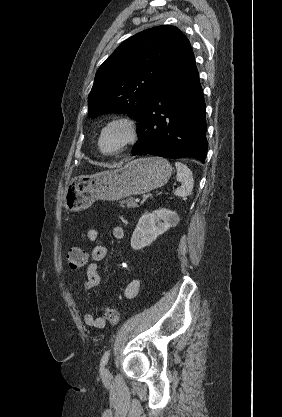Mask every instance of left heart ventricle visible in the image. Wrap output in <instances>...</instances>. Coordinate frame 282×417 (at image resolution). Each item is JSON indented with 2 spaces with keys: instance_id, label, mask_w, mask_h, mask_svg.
Masks as SVG:
<instances>
[{
  "instance_id": "left-heart-ventricle-1",
  "label": "left heart ventricle",
  "mask_w": 282,
  "mask_h": 417,
  "mask_svg": "<svg viewBox=\"0 0 282 417\" xmlns=\"http://www.w3.org/2000/svg\"><path fill=\"white\" fill-rule=\"evenodd\" d=\"M120 130H113L107 133L102 140V147L105 151L113 150L122 139Z\"/></svg>"
}]
</instances>
